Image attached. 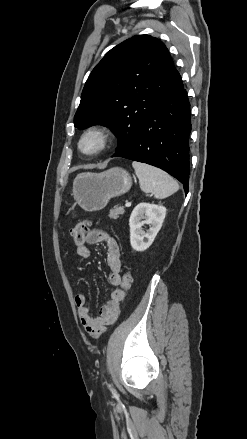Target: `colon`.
Masks as SVG:
<instances>
[{
  "mask_svg": "<svg viewBox=\"0 0 247 439\" xmlns=\"http://www.w3.org/2000/svg\"><path fill=\"white\" fill-rule=\"evenodd\" d=\"M92 225V221L84 220L76 224L75 227L71 229V236L74 240V243L77 247H80L85 242V235L90 230V226ZM133 282V275L130 271L126 272L122 278L121 288L124 291L130 289Z\"/></svg>",
  "mask_w": 247,
  "mask_h": 439,
  "instance_id": "obj_1",
  "label": "colon"
}]
</instances>
